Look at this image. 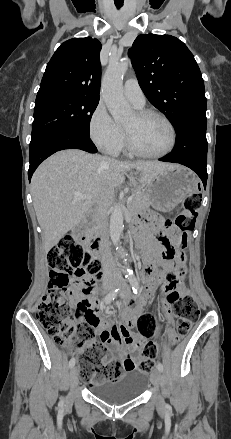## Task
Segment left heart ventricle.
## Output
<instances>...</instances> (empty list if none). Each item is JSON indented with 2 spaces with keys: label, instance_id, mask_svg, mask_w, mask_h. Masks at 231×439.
Returning a JSON list of instances; mask_svg holds the SVG:
<instances>
[{
  "label": "left heart ventricle",
  "instance_id": "1",
  "mask_svg": "<svg viewBox=\"0 0 231 439\" xmlns=\"http://www.w3.org/2000/svg\"><path fill=\"white\" fill-rule=\"evenodd\" d=\"M124 127L129 131L135 146L145 153L162 152L170 144V130L158 117L140 118L134 113Z\"/></svg>",
  "mask_w": 231,
  "mask_h": 439
}]
</instances>
